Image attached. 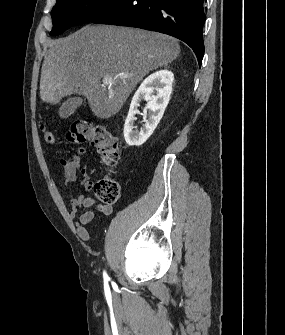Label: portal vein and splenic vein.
I'll return each mask as SVG.
<instances>
[{
	"label": "portal vein and splenic vein",
	"mask_w": 285,
	"mask_h": 335,
	"mask_svg": "<svg viewBox=\"0 0 285 335\" xmlns=\"http://www.w3.org/2000/svg\"><path fill=\"white\" fill-rule=\"evenodd\" d=\"M118 78H131V76H129V74H118L115 78H112V76H104L102 82L103 84H111V82L118 80Z\"/></svg>",
	"instance_id": "obj_1"
}]
</instances>
